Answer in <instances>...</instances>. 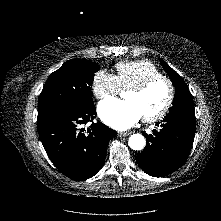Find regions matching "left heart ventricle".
<instances>
[{"instance_id": "1", "label": "left heart ventricle", "mask_w": 221, "mask_h": 221, "mask_svg": "<svg viewBox=\"0 0 221 221\" xmlns=\"http://www.w3.org/2000/svg\"><path fill=\"white\" fill-rule=\"evenodd\" d=\"M168 97V86L165 82H158L144 93L128 91L125 99L133 102L139 109L141 116L157 113L165 104Z\"/></svg>"}]
</instances>
